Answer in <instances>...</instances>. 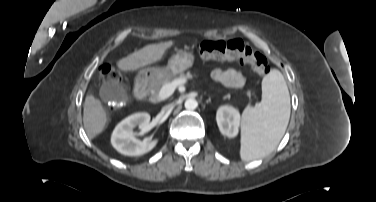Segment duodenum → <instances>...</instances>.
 I'll use <instances>...</instances> for the list:
<instances>
[{"label":"duodenum","mask_w":376,"mask_h":202,"mask_svg":"<svg viewBox=\"0 0 376 202\" xmlns=\"http://www.w3.org/2000/svg\"><path fill=\"white\" fill-rule=\"evenodd\" d=\"M148 91H149L148 80L144 77L140 78L135 85V89H134L135 98L137 100H143L147 96Z\"/></svg>","instance_id":"1"}]
</instances>
